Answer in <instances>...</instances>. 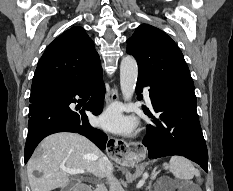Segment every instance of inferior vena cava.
<instances>
[{
	"label": "inferior vena cava",
	"mask_w": 233,
	"mask_h": 191,
	"mask_svg": "<svg viewBox=\"0 0 233 191\" xmlns=\"http://www.w3.org/2000/svg\"><path fill=\"white\" fill-rule=\"evenodd\" d=\"M98 164H99V168L107 177V180L109 181L110 191H123L119 181L114 177L112 173L113 167L111 162L108 160V158L105 155L102 156L99 159Z\"/></svg>",
	"instance_id": "602c4592"
}]
</instances>
